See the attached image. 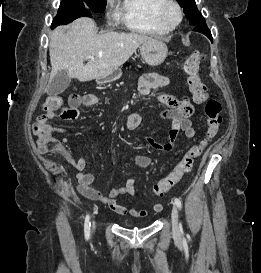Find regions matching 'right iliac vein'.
I'll return each instance as SVG.
<instances>
[{
    "mask_svg": "<svg viewBox=\"0 0 261 273\" xmlns=\"http://www.w3.org/2000/svg\"><path fill=\"white\" fill-rule=\"evenodd\" d=\"M95 229H96V223H95V221H93V223H92V230H93V232L95 231Z\"/></svg>",
    "mask_w": 261,
    "mask_h": 273,
    "instance_id": "63e3f726",
    "label": "right iliac vein"
}]
</instances>
